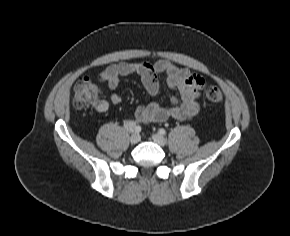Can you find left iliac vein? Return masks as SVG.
Masks as SVG:
<instances>
[{
  "instance_id": "left-iliac-vein-1",
  "label": "left iliac vein",
  "mask_w": 290,
  "mask_h": 236,
  "mask_svg": "<svg viewBox=\"0 0 290 236\" xmlns=\"http://www.w3.org/2000/svg\"><path fill=\"white\" fill-rule=\"evenodd\" d=\"M152 139L160 146H164L166 144V139L161 134H153Z\"/></svg>"
}]
</instances>
